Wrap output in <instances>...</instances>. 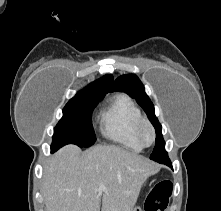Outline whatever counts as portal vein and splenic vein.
I'll return each mask as SVG.
<instances>
[{
	"label": "portal vein and splenic vein",
	"mask_w": 221,
	"mask_h": 211,
	"mask_svg": "<svg viewBox=\"0 0 221 211\" xmlns=\"http://www.w3.org/2000/svg\"><path fill=\"white\" fill-rule=\"evenodd\" d=\"M99 189H100V190H104V189H105V187H104V184H103V183H101V184H100Z\"/></svg>",
	"instance_id": "1"
}]
</instances>
